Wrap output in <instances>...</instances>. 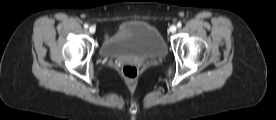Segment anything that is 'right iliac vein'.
Wrapping results in <instances>:
<instances>
[{
	"label": "right iliac vein",
	"instance_id": "63e3f726",
	"mask_svg": "<svg viewBox=\"0 0 276 120\" xmlns=\"http://www.w3.org/2000/svg\"><path fill=\"white\" fill-rule=\"evenodd\" d=\"M95 31H96V29H95L94 26H91V27L89 28V32H90L91 34H94Z\"/></svg>",
	"mask_w": 276,
	"mask_h": 120
}]
</instances>
